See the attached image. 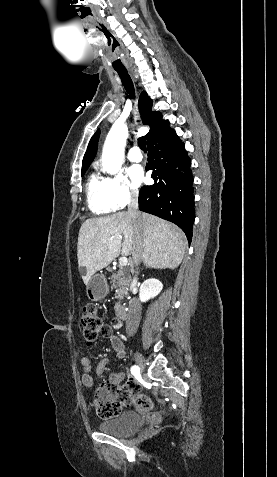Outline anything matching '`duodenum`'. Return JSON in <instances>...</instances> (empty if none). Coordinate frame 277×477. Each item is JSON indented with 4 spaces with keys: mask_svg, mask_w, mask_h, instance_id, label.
Returning a JSON list of instances; mask_svg holds the SVG:
<instances>
[{
    "mask_svg": "<svg viewBox=\"0 0 277 477\" xmlns=\"http://www.w3.org/2000/svg\"><path fill=\"white\" fill-rule=\"evenodd\" d=\"M116 316L120 321L126 320L127 319V311H126L125 307H123L121 305L118 306L116 308Z\"/></svg>",
    "mask_w": 277,
    "mask_h": 477,
    "instance_id": "1",
    "label": "duodenum"
}]
</instances>
